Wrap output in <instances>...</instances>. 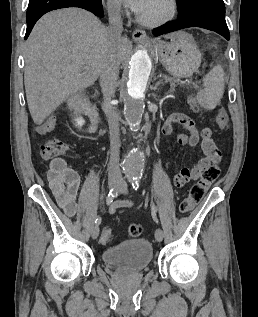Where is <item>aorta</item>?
Here are the masks:
<instances>
[{
  "mask_svg": "<svg viewBox=\"0 0 258 317\" xmlns=\"http://www.w3.org/2000/svg\"><path fill=\"white\" fill-rule=\"evenodd\" d=\"M151 59L147 51L139 50L131 58L127 93L124 100V115L131 128H138L144 112V93L151 73ZM142 153L133 149L123 162L124 173L131 178H138L143 169Z\"/></svg>",
  "mask_w": 258,
  "mask_h": 317,
  "instance_id": "762f6f07",
  "label": "aorta"
}]
</instances>
